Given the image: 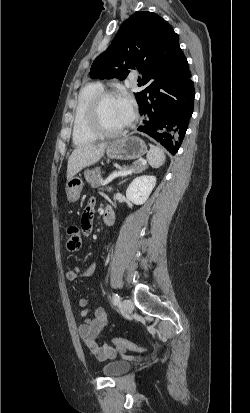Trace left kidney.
<instances>
[{
	"label": "left kidney",
	"instance_id": "obj_1",
	"mask_svg": "<svg viewBox=\"0 0 250 413\" xmlns=\"http://www.w3.org/2000/svg\"><path fill=\"white\" fill-rule=\"evenodd\" d=\"M156 185V177L152 175H142L135 178L126 190L128 200L136 205H141L149 198Z\"/></svg>",
	"mask_w": 250,
	"mask_h": 413
}]
</instances>
